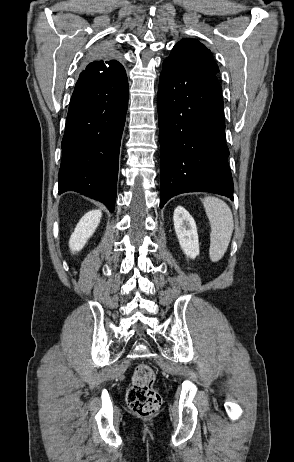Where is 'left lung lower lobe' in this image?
Instances as JSON below:
<instances>
[{
	"label": "left lung lower lobe",
	"mask_w": 294,
	"mask_h": 462,
	"mask_svg": "<svg viewBox=\"0 0 294 462\" xmlns=\"http://www.w3.org/2000/svg\"><path fill=\"white\" fill-rule=\"evenodd\" d=\"M160 208L185 192L233 200L221 85L215 75L165 60L158 89Z\"/></svg>",
	"instance_id": "0a47b994"
}]
</instances>
